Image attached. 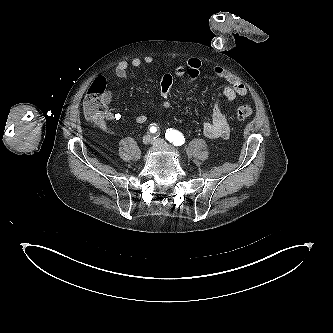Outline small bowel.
<instances>
[{
	"label": "small bowel",
	"mask_w": 333,
	"mask_h": 333,
	"mask_svg": "<svg viewBox=\"0 0 333 333\" xmlns=\"http://www.w3.org/2000/svg\"><path fill=\"white\" fill-rule=\"evenodd\" d=\"M153 58L146 56L144 58H133L130 62L121 61L115 68L114 73L120 79L128 77L129 67L138 68L143 64H151ZM201 61L197 58H189L184 65L176 67L175 74L177 76H187L192 79L200 75ZM213 73L216 77L224 80L226 84L221 89L218 97L216 98L211 113V120L203 123V134L211 139L227 138L229 137L230 130L226 113L223 109V103L228 105L232 103L238 96H245L247 94L246 86L239 80L237 76L222 67H215ZM172 88V75L165 74L160 83V94L163 99L162 107L169 109L172 106L170 99ZM106 102L110 103L112 94L110 91L106 92ZM120 118V114L114 112H106L104 117L97 121L96 124L102 129L106 128V121H114ZM147 121L145 114H140L136 117V123L143 124Z\"/></svg>",
	"instance_id": "1"
}]
</instances>
